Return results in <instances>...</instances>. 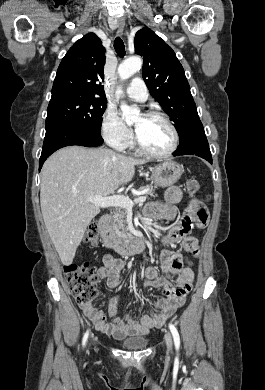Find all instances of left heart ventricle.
<instances>
[{"mask_svg": "<svg viewBox=\"0 0 265 390\" xmlns=\"http://www.w3.org/2000/svg\"><path fill=\"white\" fill-rule=\"evenodd\" d=\"M133 127L142 143L153 152H164L172 144L170 129L158 118L140 115L135 119Z\"/></svg>", "mask_w": 265, "mask_h": 390, "instance_id": "obj_1", "label": "left heart ventricle"}]
</instances>
